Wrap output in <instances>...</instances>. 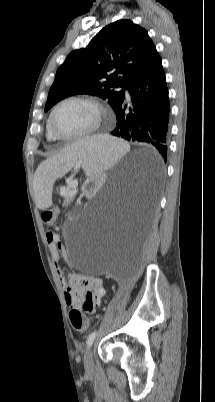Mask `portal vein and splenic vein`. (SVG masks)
<instances>
[{"mask_svg":"<svg viewBox=\"0 0 215 402\" xmlns=\"http://www.w3.org/2000/svg\"><path fill=\"white\" fill-rule=\"evenodd\" d=\"M76 185H77V181H74V182H73V186H76Z\"/></svg>","mask_w":215,"mask_h":402,"instance_id":"1","label":"portal vein and splenic vein"}]
</instances>
